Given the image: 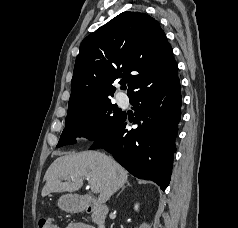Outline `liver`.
<instances>
[{
	"label": "liver",
	"instance_id": "1",
	"mask_svg": "<svg viewBox=\"0 0 238 228\" xmlns=\"http://www.w3.org/2000/svg\"><path fill=\"white\" fill-rule=\"evenodd\" d=\"M84 179L98 189V200L105 203L124 186L128 173L114 159L98 151L68 154L57 158L46 171L41 195L78 191Z\"/></svg>",
	"mask_w": 238,
	"mask_h": 228
}]
</instances>
